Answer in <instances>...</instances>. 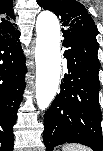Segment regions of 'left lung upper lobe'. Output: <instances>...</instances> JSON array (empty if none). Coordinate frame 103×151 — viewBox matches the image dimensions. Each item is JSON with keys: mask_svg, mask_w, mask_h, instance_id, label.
<instances>
[{"mask_svg": "<svg viewBox=\"0 0 103 151\" xmlns=\"http://www.w3.org/2000/svg\"><path fill=\"white\" fill-rule=\"evenodd\" d=\"M37 3L44 10L54 12L61 20L62 32L94 36L98 34L97 26L85 7L76 0H37Z\"/></svg>", "mask_w": 103, "mask_h": 151, "instance_id": "left-lung-upper-lobe-1", "label": "left lung upper lobe"}]
</instances>
